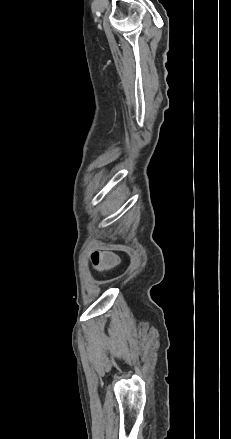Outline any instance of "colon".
Segmentation results:
<instances>
[{
	"instance_id": "5ec220e1",
	"label": "colon",
	"mask_w": 231,
	"mask_h": 439,
	"mask_svg": "<svg viewBox=\"0 0 231 439\" xmlns=\"http://www.w3.org/2000/svg\"><path fill=\"white\" fill-rule=\"evenodd\" d=\"M92 262L100 270L109 269L116 265V259L104 252H94Z\"/></svg>"
}]
</instances>
